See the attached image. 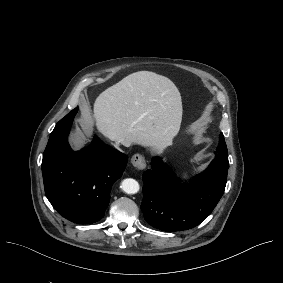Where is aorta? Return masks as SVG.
<instances>
[{
	"instance_id": "1",
	"label": "aorta",
	"mask_w": 283,
	"mask_h": 283,
	"mask_svg": "<svg viewBox=\"0 0 283 283\" xmlns=\"http://www.w3.org/2000/svg\"><path fill=\"white\" fill-rule=\"evenodd\" d=\"M122 190L127 194H135L139 191V183L132 178L124 179L121 183Z\"/></svg>"
}]
</instances>
